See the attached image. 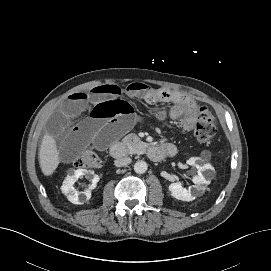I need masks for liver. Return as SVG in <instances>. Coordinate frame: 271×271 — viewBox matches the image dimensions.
I'll list each match as a JSON object with an SVG mask.
<instances>
[{
	"label": "liver",
	"mask_w": 271,
	"mask_h": 271,
	"mask_svg": "<svg viewBox=\"0 0 271 271\" xmlns=\"http://www.w3.org/2000/svg\"><path fill=\"white\" fill-rule=\"evenodd\" d=\"M39 163L45 176L52 175L60 163L56 140L48 133L44 134L41 142Z\"/></svg>",
	"instance_id": "1"
}]
</instances>
